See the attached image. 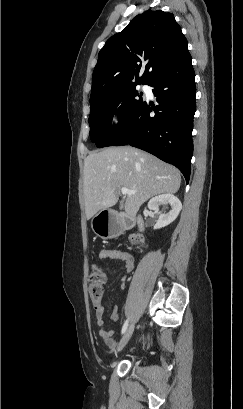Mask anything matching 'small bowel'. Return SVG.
Segmentation results:
<instances>
[{
	"label": "small bowel",
	"instance_id": "1",
	"mask_svg": "<svg viewBox=\"0 0 243 409\" xmlns=\"http://www.w3.org/2000/svg\"><path fill=\"white\" fill-rule=\"evenodd\" d=\"M96 260L97 261H101V260L119 261L122 263L123 268L126 273L131 272L134 267L133 259L130 254H128L125 251L114 249V248H107V249L100 250L96 256ZM125 281H126V277L123 276L121 278V282H125ZM103 313H104V308L102 306H98L95 312L96 324L100 328V335L102 339L104 340L105 344L110 349H115L116 348V342L114 340L115 332L105 328V321L103 318ZM111 320L115 324H118L120 322L119 316L115 312L111 315ZM150 344H151V339H148L143 344V346L149 347Z\"/></svg>",
	"mask_w": 243,
	"mask_h": 409
}]
</instances>
